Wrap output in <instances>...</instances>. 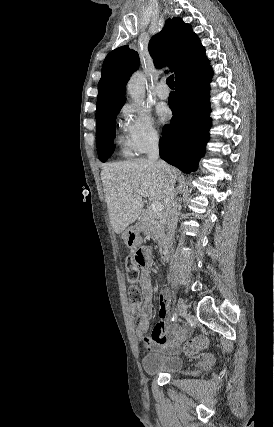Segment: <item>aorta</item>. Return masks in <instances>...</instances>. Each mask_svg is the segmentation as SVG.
<instances>
[{"label":"aorta","instance_id":"1","mask_svg":"<svg viewBox=\"0 0 274 427\" xmlns=\"http://www.w3.org/2000/svg\"><path fill=\"white\" fill-rule=\"evenodd\" d=\"M144 75L141 72H136L130 78L127 84V91L135 104L143 102L145 97Z\"/></svg>","mask_w":274,"mask_h":427}]
</instances>
